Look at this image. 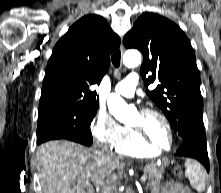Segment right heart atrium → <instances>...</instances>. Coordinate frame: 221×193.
<instances>
[{
    "mask_svg": "<svg viewBox=\"0 0 221 193\" xmlns=\"http://www.w3.org/2000/svg\"><path fill=\"white\" fill-rule=\"evenodd\" d=\"M91 131L98 143L113 147L123 136L124 127L108 111L100 109L92 120Z\"/></svg>",
    "mask_w": 221,
    "mask_h": 193,
    "instance_id": "1",
    "label": "right heart atrium"
}]
</instances>
